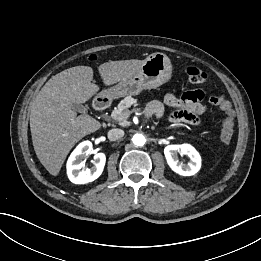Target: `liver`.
<instances>
[{"label":"liver","instance_id":"1","mask_svg":"<svg viewBox=\"0 0 261 261\" xmlns=\"http://www.w3.org/2000/svg\"><path fill=\"white\" fill-rule=\"evenodd\" d=\"M145 60L110 61L98 67L106 86L132 77ZM93 69L75 66L66 69L43 86L31 105L30 130L37 158L46 170L57 176L74 145L101 128V123L83 114L77 117L73 103L82 104L99 91L92 83Z\"/></svg>","mask_w":261,"mask_h":261}]
</instances>
